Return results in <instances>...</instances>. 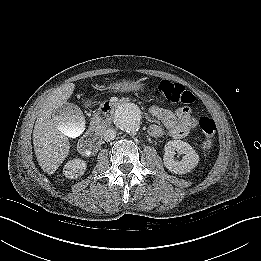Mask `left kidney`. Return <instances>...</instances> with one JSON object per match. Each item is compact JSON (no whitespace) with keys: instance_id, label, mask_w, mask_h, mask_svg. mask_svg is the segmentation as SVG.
Masks as SVG:
<instances>
[{"instance_id":"left-kidney-1","label":"left kidney","mask_w":261,"mask_h":261,"mask_svg":"<svg viewBox=\"0 0 261 261\" xmlns=\"http://www.w3.org/2000/svg\"><path fill=\"white\" fill-rule=\"evenodd\" d=\"M163 162L165 167L175 174H185L195 168L199 162V156L192 146L181 140L168 141L164 146ZM184 154L181 160L175 159L174 155Z\"/></svg>"}]
</instances>
